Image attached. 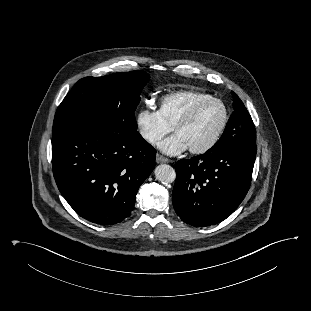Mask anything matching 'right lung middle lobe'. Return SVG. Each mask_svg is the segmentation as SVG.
Segmentation results:
<instances>
[{
    "instance_id": "dd1d6c3e",
    "label": "right lung middle lobe",
    "mask_w": 311,
    "mask_h": 311,
    "mask_svg": "<svg viewBox=\"0 0 311 311\" xmlns=\"http://www.w3.org/2000/svg\"><path fill=\"white\" fill-rule=\"evenodd\" d=\"M148 80L149 75L142 71L79 80L56 111L52 135L82 130L136 131L134 111Z\"/></svg>"
}]
</instances>
